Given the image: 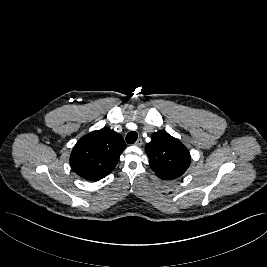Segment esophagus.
I'll return each mask as SVG.
<instances>
[{"label":"esophagus","mask_w":267,"mask_h":267,"mask_svg":"<svg viewBox=\"0 0 267 267\" xmlns=\"http://www.w3.org/2000/svg\"><path fill=\"white\" fill-rule=\"evenodd\" d=\"M142 144H143V141H142V139L141 138H139L136 142H135V145L136 146H142Z\"/></svg>","instance_id":"esophagus-1"}]
</instances>
